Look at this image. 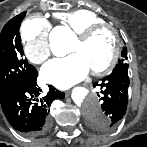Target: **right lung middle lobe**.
I'll return each instance as SVG.
<instances>
[{"label":"right lung middle lobe","mask_w":147,"mask_h":147,"mask_svg":"<svg viewBox=\"0 0 147 147\" xmlns=\"http://www.w3.org/2000/svg\"><path fill=\"white\" fill-rule=\"evenodd\" d=\"M25 15L23 12L12 18L0 33V90L25 82L37 74L36 68L23 57L19 29Z\"/></svg>","instance_id":"obj_1"}]
</instances>
